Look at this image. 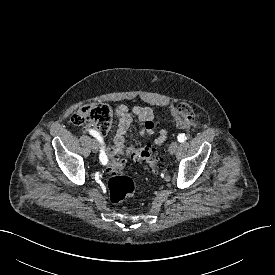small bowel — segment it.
Listing matches in <instances>:
<instances>
[{"label":"small bowel","mask_w":275,"mask_h":275,"mask_svg":"<svg viewBox=\"0 0 275 275\" xmlns=\"http://www.w3.org/2000/svg\"><path fill=\"white\" fill-rule=\"evenodd\" d=\"M116 115L117 131L113 144L104 147V153L109 159L114 160L124 154L130 155L134 152L133 148H125V135L134 120H136L140 126L141 136H153L155 145H161L166 140V130L161 129L156 132L154 127L150 126L154 118L153 111L150 108L134 106L130 109L127 105H119L116 108Z\"/></svg>","instance_id":"1"}]
</instances>
